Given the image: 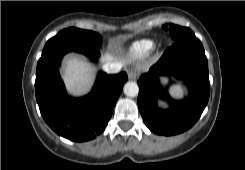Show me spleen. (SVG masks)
<instances>
[{"instance_id": "spleen-1", "label": "spleen", "mask_w": 245, "mask_h": 170, "mask_svg": "<svg viewBox=\"0 0 245 170\" xmlns=\"http://www.w3.org/2000/svg\"><path fill=\"white\" fill-rule=\"evenodd\" d=\"M171 94L175 97H180L182 96L184 90L180 85H173L170 88Z\"/></svg>"}]
</instances>
